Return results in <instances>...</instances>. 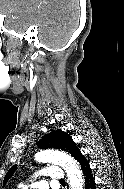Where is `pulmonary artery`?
Here are the masks:
<instances>
[{
    "label": "pulmonary artery",
    "instance_id": "obj_1",
    "mask_svg": "<svg viewBox=\"0 0 124 189\" xmlns=\"http://www.w3.org/2000/svg\"><path fill=\"white\" fill-rule=\"evenodd\" d=\"M40 174L48 177L52 181H60L64 178L63 171L60 167H47L43 169ZM22 189H27L25 184L20 185Z\"/></svg>",
    "mask_w": 124,
    "mask_h": 189
}]
</instances>
